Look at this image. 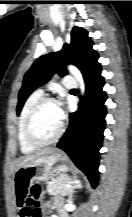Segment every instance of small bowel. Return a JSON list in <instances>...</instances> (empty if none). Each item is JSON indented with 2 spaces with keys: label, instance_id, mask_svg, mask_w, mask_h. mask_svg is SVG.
Returning <instances> with one entry per match:
<instances>
[{
  "label": "small bowel",
  "instance_id": "obj_1",
  "mask_svg": "<svg viewBox=\"0 0 132 217\" xmlns=\"http://www.w3.org/2000/svg\"><path fill=\"white\" fill-rule=\"evenodd\" d=\"M26 195L27 191L25 190H17L16 191V204L20 211L19 217H31V210L26 203ZM63 204L62 198H57L53 201H48L42 206L43 211H48L51 208H60L59 216L56 217H67L65 211L61 209Z\"/></svg>",
  "mask_w": 132,
  "mask_h": 217
}]
</instances>
